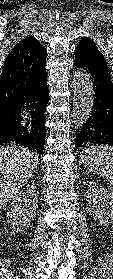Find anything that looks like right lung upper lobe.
I'll list each match as a JSON object with an SVG mask.
<instances>
[{"label": "right lung upper lobe", "mask_w": 113, "mask_h": 279, "mask_svg": "<svg viewBox=\"0 0 113 279\" xmlns=\"http://www.w3.org/2000/svg\"><path fill=\"white\" fill-rule=\"evenodd\" d=\"M46 50L34 38L21 40L6 57L0 76V111L7 110L39 76L46 72Z\"/></svg>", "instance_id": "1"}]
</instances>
